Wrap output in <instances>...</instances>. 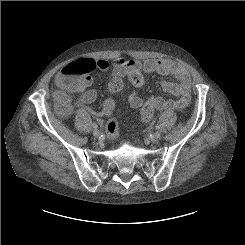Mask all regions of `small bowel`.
<instances>
[{"label":"small bowel","instance_id":"c3829d8e","mask_svg":"<svg viewBox=\"0 0 245 245\" xmlns=\"http://www.w3.org/2000/svg\"><path fill=\"white\" fill-rule=\"evenodd\" d=\"M95 64L98 70L112 69L113 78L122 77L125 74H131L134 71H142L144 73L158 72L165 75L174 77L177 82H163L162 88L165 92L174 96L172 99H163L160 97H150L146 101L133 94L130 97V101L134 107L141 106L144 102L151 103L155 111H165L171 109H180L186 107L190 102L191 95V78L185 68L179 64L165 58L148 59L143 62L130 61L121 57L113 58L110 62L106 60H95ZM62 76V70L56 75L55 81ZM91 85V78H89V84L82 92L80 98L75 101L76 105L90 104L97 99L98 93L94 89H88ZM93 115L99 116L104 113H96L90 111Z\"/></svg>","mask_w":245,"mask_h":245}]
</instances>
